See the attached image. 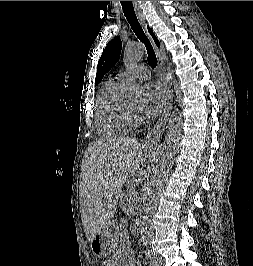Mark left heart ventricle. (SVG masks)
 <instances>
[{
	"instance_id": "b2bd125f",
	"label": "left heart ventricle",
	"mask_w": 253,
	"mask_h": 266,
	"mask_svg": "<svg viewBox=\"0 0 253 266\" xmlns=\"http://www.w3.org/2000/svg\"><path fill=\"white\" fill-rule=\"evenodd\" d=\"M128 104L132 109L136 110L139 106V100H131Z\"/></svg>"
}]
</instances>
